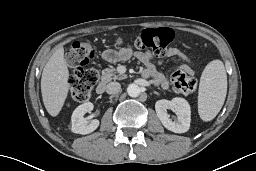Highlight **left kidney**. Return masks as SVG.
I'll list each match as a JSON object with an SVG mask.
<instances>
[{"label": "left kidney", "instance_id": "left-kidney-1", "mask_svg": "<svg viewBox=\"0 0 256 171\" xmlns=\"http://www.w3.org/2000/svg\"><path fill=\"white\" fill-rule=\"evenodd\" d=\"M158 118L165 128L174 133H185L190 128L191 110L189 103L184 98H173L171 101L162 99L155 103ZM167 110H172L177 115V120H172Z\"/></svg>", "mask_w": 256, "mask_h": 171}]
</instances>
